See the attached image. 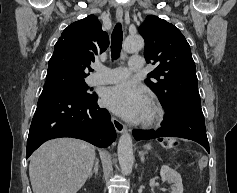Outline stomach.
<instances>
[{"label":"stomach","mask_w":237,"mask_h":193,"mask_svg":"<svg viewBox=\"0 0 237 193\" xmlns=\"http://www.w3.org/2000/svg\"><path fill=\"white\" fill-rule=\"evenodd\" d=\"M145 147H146L147 149H150V145H146Z\"/></svg>","instance_id":"0dacf381"}]
</instances>
